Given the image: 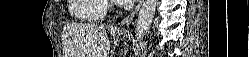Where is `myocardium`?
Here are the masks:
<instances>
[{"mask_svg": "<svg viewBox=\"0 0 249 57\" xmlns=\"http://www.w3.org/2000/svg\"><path fill=\"white\" fill-rule=\"evenodd\" d=\"M108 2V4L110 5V7L114 8L115 7V3L113 1H105V3Z\"/></svg>", "mask_w": 249, "mask_h": 57, "instance_id": "myocardium-1", "label": "myocardium"}]
</instances>
